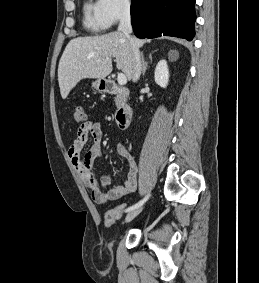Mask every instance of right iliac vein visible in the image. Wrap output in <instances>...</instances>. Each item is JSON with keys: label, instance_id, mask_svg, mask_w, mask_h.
Segmentation results:
<instances>
[{"label": "right iliac vein", "instance_id": "right-iliac-vein-1", "mask_svg": "<svg viewBox=\"0 0 259 283\" xmlns=\"http://www.w3.org/2000/svg\"><path fill=\"white\" fill-rule=\"evenodd\" d=\"M142 207H138L136 209L131 210L125 217V222H130L132 221L136 216H138L140 214V212L142 211Z\"/></svg>", "mask_w": 259, "mask_h": 283}]
</instances>
